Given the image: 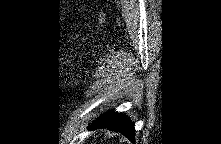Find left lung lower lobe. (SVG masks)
<instances>
[{
	"instance_id": "0a47b994",
	"label": "left lung lower lobe",
	"mask_w": 221,
	"mask_h": 144,
	"mask_svg": "<svg viewBox=\"0 0 221 144\" xmlns=\"http://www.w3.org/2000/svg\"><path fill=\"white\" fill-rule=\"evenodd\" d=\"M90 128H108L111 131L124 134V136L132 142L135 140L133 122H131L122 113H116L114 111L108 112L95 120L94 123L91 124Z\"/></svg>"
}]
</instances>
